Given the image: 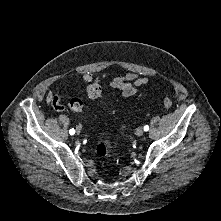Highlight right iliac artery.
Wrapping results in <instances>:
<instances>
[{
    "label": "right iliac artery",
    "mask_w": 221,
    "mask_h": 221,
    "mask_svg": "<svg viewBox=\"0 0 221 221\" xmlns=\"http://www.w3.org/2000/svg\"><path fill=\"white\" fill-rule=\"evenodd\" d=\"M69 133H70V135H73V134H75V130L74 129H70Z\"/></svg>",
    "instance_id": "82829eb1"
}]
</instances>
